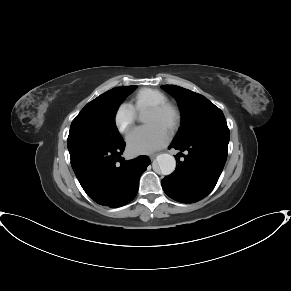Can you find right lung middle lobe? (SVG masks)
Masks as SVG:
<instances>
[{
  "label": "right lung middle lobe",
  "instance_id": "right-lung-middle-lobe-1",
  "mask_svg": "<svg viewBox=\"0 0 291 291\" xmlns=\"http://www.w3.org/2000/svg\"><path fill=\"white\" fill-rule=\"evenodd\" d=\"M136 87L113 88L89 102L72 121L68 143L92 142L113 146L123 142L115 125V115L119 105Z\"/></svg>",
  "mask_w": 291,
  "mask_h": 291
}]
</instances>
